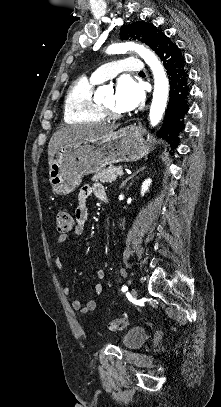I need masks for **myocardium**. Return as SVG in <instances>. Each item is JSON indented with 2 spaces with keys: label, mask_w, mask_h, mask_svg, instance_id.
<instances>
[{
  "label": "myocardium",
  "mask_w": 221,
  "mask_h": 407,
  "mask_svg": "<svg viewBox=\"0 0 221 407\" xmlns=\"http://www.w3.org/2000/svg\"><path fill=\"white\" fill-rule=\"evenodd\" d=\"M99 110L101 114L107 118H120L124 116L123 112H119L114 109L108 108L104 104H99Z\"/></svg>",
  "instance_id": "obj_1"
}]
</instances>
